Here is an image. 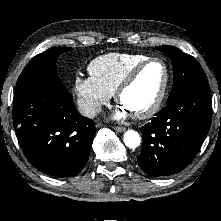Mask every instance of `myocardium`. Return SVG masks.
Segmentation results:
<instances>
[{"mask_svg": "<svg viewBox=\"0 0 221 221\" xmlns=\"http://www.w3.org/2000/svg\"><path fill=\"white\" fill-rule=\"evenodd\" d=\"M158 62L162 64L164 68V81L162 83L161 89L154 100V102L145 110L136 112V113H131L133 117L138 118V119H146L151 116H153L161 107L170 82V70L167 65V63L158 57H149L148 59L140 62L137 64L134 68L130 70V72L125 76V78L122 80V82L119 84L115 91V100L116 102L120 105V99L123 95V93L134 83L138 75L141 73V71L148 66L151 63Z\"/></svg>", "mask_w": 221, "mask_h": 221, "instance_id": "1", "label": "myocardium"}]
</instances>
